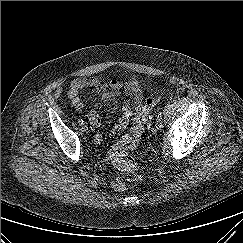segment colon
<instances>
[{
	"label": "colon",
	"mask_w": 243,
	"mask_h": 243,
	"mask_svg": "<svg viewBox=\"0 0 243 243\" xmlns=\"http://www.w3.org/2000/svg\"><path fill=\"white\" fill-rule=\"evenodd\" d=\"M158 103L159 98H148L140 105L136 110L134 122L129 133L112 146L107 153L108 160L118 168L111 182L112 187L117 191L125 189L126 181L138 179L134 171L130 152L138 146L144 128L148 124L149 114Z\"/></svg>",
	"instance_id": "1"
}]
</instances>
